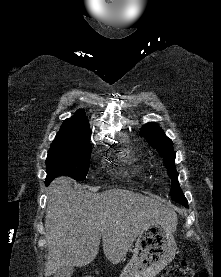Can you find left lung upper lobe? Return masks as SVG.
Instances as JSON below:
<instances>
[{"mask_svg":"<svg viewBox=\"0 0 221 277\" xmlns=\"http://www.w3.org/2000/svg\"><path fill=\"white\" fill-rule=\"evenodd\" d=\"M140 135L143 136L147 142L164 158V162L168 168V175L171 178V198L179 203H183L186 198L179 186L178 173L175 168V152L173 151L172 141L165 135L163 130L156 123L149 122L143 126L140 131Z\"/></svg>","mask_w":221,"mask_h":277,"instance_id":"left-lung-upper-lobe-1","label":"left lung upper lobe"}]
</instances>
